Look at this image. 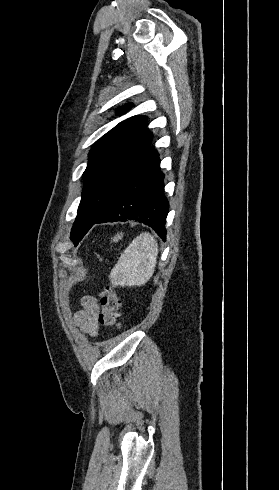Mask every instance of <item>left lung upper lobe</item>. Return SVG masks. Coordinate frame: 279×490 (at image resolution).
<instances>
[{"mask_svg":"<svg viewBox=\"0 0 279 490\" xmlns=\"http://www.w3.org/2000/svg\"><path fill=\"white\" fill-rule=\"evenodd\" d=\"M128 108L118 109L117 113L123 114ZM146 126V116L131 117L93 145L82 176V198L71 230L70 238L75 246L111 208L121 186L149 148L153 135Z\"/></svg>","mask_w":279,"mask_h":490,"instance_id":"5c2ea615","label":"left lung upper lobe"}]
</instances>
